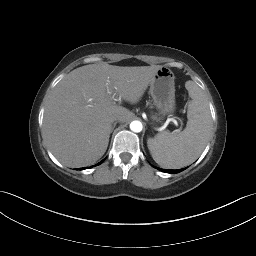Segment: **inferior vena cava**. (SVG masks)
Masks as SVG:
<instances>
[{
  "label": "inferior vena cava",
  "mask_w": 256,
  "mask_h": 256,
  "mask_svg": "<svg viewBox=\"0 0 256 256\" xmlns=\"http://www.w3.org/2000/svg\"><path fill=\"white\" fill-rule=\"evenodd\" d=\"M111 120H112V122H114V121H120L121 120V117L119 116V115H113L112 117H111Z\"/></svg>",
  "instance_id": "602c4592"
}]
</instances>
